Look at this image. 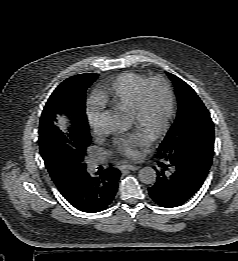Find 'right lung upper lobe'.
<instances>
[{"instance_id": "cb5924a9", "label": "right lung upper lobe", "mask_w": 238, "mask_h": 261, "mask_svg": "<svg viewBox=\"0 0 238 261\" xmlns=\"http://www.w3.org/2000/svg\"><path fill=\"white\" fill-rule=\"evenodd\" d=\"M81 129L78 125L74 124L73 122H70V125L67 128V132L66 134L70 137V138H74L76 137L78 134H80ZM54 183L56 184V186L58 187L59 191L65 189V187L67 186L66 184L59 182V181H54Z\"/></svg>"}]
</instances>
